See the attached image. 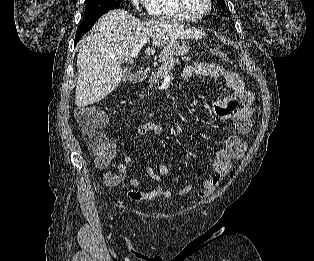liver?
Returning <instances> with one entry per match:
<instances>
[{
  "label": "liver",
  "instance_id": "liver-1",
  "mask_svg": "<svg viewBox=\"0 0 314 261\" xmlns=\"http://www.w3.org/2000/svg\"><path fill=\"white\" fill-rule=\"evenodd\" d=\"M203 35L173 21H140L122 9L105 13L92 35L82 40L77 55L76 106L85 107L109 95L122 80V60L141 41L152 38L153 46L161 47L173 40L198 39ZM154 52V48L146 49L147 55Z\"/></svg>",
  "mask_w": 314,
  "mask_h": 261
}]
</instances>
